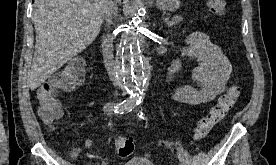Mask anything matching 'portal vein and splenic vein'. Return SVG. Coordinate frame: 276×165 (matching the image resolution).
<instances>
[{"mask_svg": "<svg viewBox=\"0 0 276 165\" xmlns=\"http://www.w3.org/2000/svg\"><path fill=\"white\" fill-rule=\"evenodd\" d=\"M176 23V21L173 19L172 21H168L167 22V25L168 26H172V25H174Z\"/></svg>", "mask_w": 276, "mask_h": 165, "instance_id": "18ae733b", "label": "portal vein and splenic vein"}]
</instances>
